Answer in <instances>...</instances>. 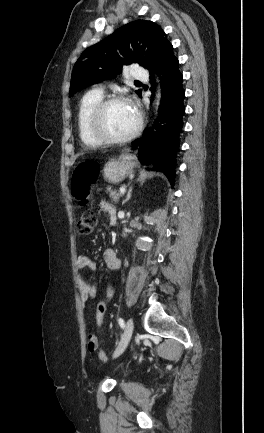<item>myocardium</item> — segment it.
<instances>
[{"mask_svg": "<svg viewBox=\"0 0 264 433\" xmlns=\"http://www.w3.org/2000/svg\"><path fill=\"white\" fill-rule=\"evenodd\" d=\"M117 103L130 104L129 100L122 96H112L100 101L92 110L88 120V130L100 144H123L135 138L142 128V117L136 111L137 121L134 128L126 135L114 137L108 135L104 130V115L108 107Z\"/></svg>", "mask_w": 264, "mask_h": 433, "instance_id": "1", "label": "myocardium"}]
</instances>
